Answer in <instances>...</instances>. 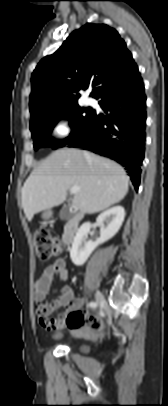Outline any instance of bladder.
<instances>
[{
  "label": "bladder",
  "mask_w": 168,
  "mask_h": 406,
  "mask_svg": "<svg viewBox=\"0 0 168 406\" xmlns=\"http://www.w3.org/2000/svg\"><path fill=\"white\" fill-rule=\"evenodd\" d=\"M79 350H80L82 353H86V352L88 351V348H87L86 346H79Z\"/></svg>",
  "instance_id": "obj_1"
}]
</instances>
